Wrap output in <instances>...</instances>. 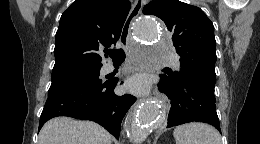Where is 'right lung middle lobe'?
Instances as JSON below:
<instances>
[{"label":"right lung middle lobe","mask_w":260,"mask_h":144,"mask_svg":"<svg viewBox=\"0 0 260 144\" xmlns=\"http://www.w3.org/2000/svg\"><path fill=\"white\" fill-rule=\"evenodd\" d=\"M101 67L75 66L52 71L50 88L70 84L97 85L102 84L99 79Z\"/></svg>","instance_id":"obj_1"}]
</instances>
